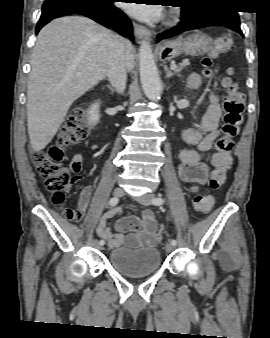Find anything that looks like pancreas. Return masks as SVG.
<instances>
[{"instance_id":"pancreas-1","label":"pancreas","mask_w":270,"mask_h":338,"mask_svg":"<svg viewBox=\"0 0 270 338\" xmlns=\"http://www.w3.org/2000/svg\"><path fill=\"white\" fill-rule=\"evenodd\" d=\"M186 66V63H181L180 67L178 69L175 70L176 73L180 72L182 68H184Z\"/></svg>"}]
</instances>
